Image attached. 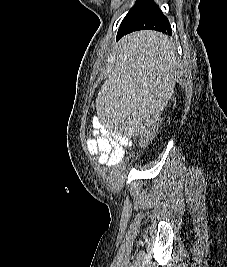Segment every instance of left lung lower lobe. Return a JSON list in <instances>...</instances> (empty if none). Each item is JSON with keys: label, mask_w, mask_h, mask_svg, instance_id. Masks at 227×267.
<instances>
[{"label": "left lung lower lobe", "mask_w": 227, "mask_h": 267, "mask_svg": "<svg viewBox=\"0 0 227 267\" xmlns=\"http://www.w3.org/2000/svg\"><path fill=\"white\" fill-rule=\"evenodd\" d=\"M144 29L172 35L171 25L167 17L164 16L153 0H137L135 5L124 17L119 27L116 40L121 39L124 35L133 31ZM146 44L145 41H138L135 43V48H144Z\"/></svg>", "instance_id": "left-lung-lower-lobe-1"}]
</instances>
